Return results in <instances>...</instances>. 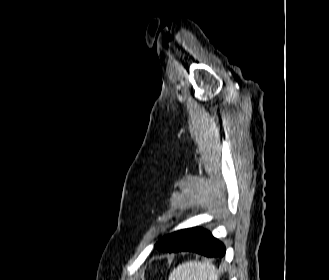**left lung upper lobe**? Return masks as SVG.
<instances>
[{
	"mask_svg": "<svg viewBox=\"0 0 329 280\" xmlns=\"http://www.w3.org/2000/svg\"><path fill=\"white\" fill-rule=\"evenodd\" d=\"M167 236L161 238L156 244H155V248L157 249H161L162 247H164L166 245L167 242Z\"/></svg>",
	"mask_w": 329,
	"mask_h": 280,
	"instance_id": "5c2ea615",
	"label": "left lung upper lobe"
}]
</instances>
